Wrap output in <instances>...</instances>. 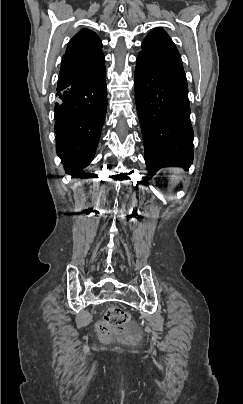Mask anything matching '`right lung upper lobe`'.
Segmentation results:
<instances>
[{"instance_id":"obj_1","label":"right lung upper lobe","mask_w":243,"mask_h":404,"mask_svg":"<svg viewBox=\"0 0 243 404\" xmlns=\"http://www.w3.org/2000/svg\"><path fill=\"white\" fill-rule=\"evenodd\" d=\"M102 42L88 29L79 31L69 42L63 56L57 90H63L72 82L83 79L104 66Z\"/></svg>"}]
</instances>
